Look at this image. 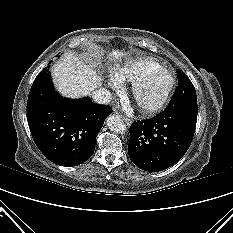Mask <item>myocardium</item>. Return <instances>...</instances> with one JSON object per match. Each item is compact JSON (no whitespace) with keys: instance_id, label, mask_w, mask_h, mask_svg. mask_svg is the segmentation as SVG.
I'll list each match as a JSON object with an SVG mask.
<instances>
[{"instance_id":"myocardium-1","label":"myocardium","mask_w":233,"mask_h":233,"mask_svg":"<svg viewBox=\"0 0 233 233\" xmlns=\"http://www.w3.org/2000/svg\"><path fill=\"white\" fill-rule=\"evenodd\" d=\"M158 73L166 76L168 79L167 86L157 99L151 102H145L142 100V92L151 78ZM174 84L175 78L171 71L163 67L152 69L133 83L132 97L141 112L145 114H152L159 111L167 103Z\"/></svg>"}]
</instances>
